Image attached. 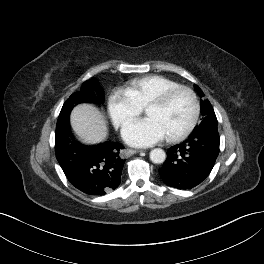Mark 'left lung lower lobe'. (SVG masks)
Instances as JSON below:
<instances>
[{"label":"left lung lower lobe","instance_id":"left-lung-lower-lobe-1","mask_svg":"<svg viewBox=\"0 0 264 264\" xmlns=\"http://www.w3.org/2000/svg\"><path fill=\"white\" fill-rule=\"evenodd\" d=\"M217 126L197 127L184 142L171 147L159 169L163 181L177 189H191L210 174L219 154Z\"/></svg>","mask_w":264,"mask_h":264}]
</instances>
